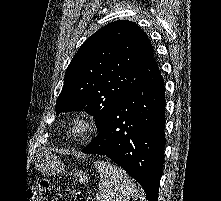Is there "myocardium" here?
Returning a JSON list of instances; mask_svg holds the SVG:
<instances>
[{
	"instance_id": "myocardium-1",
	"label": "myocardium",
	"mask_w": 221,
	"mask_h": 201,
	"mask_svg": "<svg viewBox=\"0 0 221 201\" xmlns=\"http://www.w3.org/2000/svg\"><path fill=\"white\" fill-rule=\"evenodd\" d=\"M95 127L93 117L85 113H78L70 121L69 133L76 139H85L92 135Z\"/></svg>"
}]
</instances>
